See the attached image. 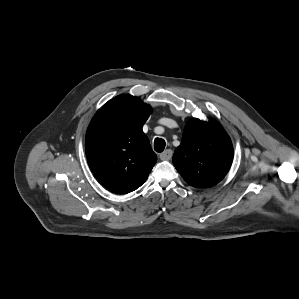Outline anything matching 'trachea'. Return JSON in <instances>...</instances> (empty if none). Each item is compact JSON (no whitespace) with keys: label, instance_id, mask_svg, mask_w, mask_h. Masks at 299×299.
Segmentation results:
<instances>
[{"label":"trachea","instance_id":"3493384b","mask_svg":"<svg viewBox=\"0 0 299 299\" xmlns=\"http://www.w3.org/2000/svg\"><path fill=\"white\" fill-rule=\"evenodd\" d=\"M165 140L162 138H156L154 141V149L156 152L161 153L165 149Z\"/></svg>","mask_w":299,"mask_h":299}]
</instances>
